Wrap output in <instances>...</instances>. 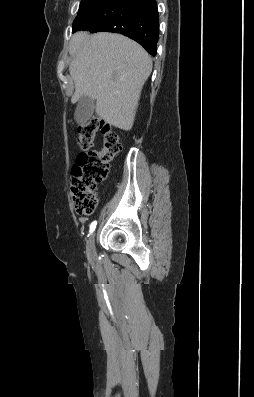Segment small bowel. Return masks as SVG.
<instances>
[{"mask_svg": "<svg viewBox=\"0 0 254 397\" xmlns=\"http://www.w3.org/2000/svg\"><path fill=\"white\" fill-rule=\"evenodd\" d=\"M80 221L82 222V223H86V219L85 218H80Z\"/></svg>", "mask_w": 254, "mask_h": 397, "instance_id": "obj_1", "label": "small bowel"}]
</instances>
